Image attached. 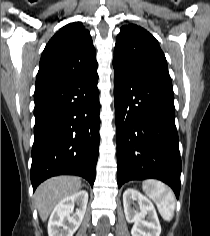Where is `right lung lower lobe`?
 Listing matches in <instances>:
<instances>
[{
	"mask_svg": "<svg viewBox=\"0 0 210 236\" xmlns=\"http://www.w3.org/2000/svg\"><path fill=\"white\" fill-rule=\"evenodd\" d=\"M97 69L34 94L33 191L49 177L78 175L94 184L99 148Z\"/></svg>",
	"mask_w": 210,
	"mask_h": 236,
	"instance_id": "obj_1",
	"label": "right lung lower lobe"
}]
</instances>
